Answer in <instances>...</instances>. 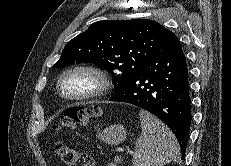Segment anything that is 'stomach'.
Wrapping results in <instances>:
<instances>
[{
    "mask_svg": "<svg viewBox=\"0 0 231 166\" xmlns=\"http://www.w3.org/2000/svg\"><path fill=\"white\" fill-rule=\"evenodd\" d=\"M127 131L122 125L114 124L106 127L98 138L110 145H118L126 139Z\"/></svg>",
    "mask_w": 231,
    "mask_h": 166,
    "instance_id": "1",
    "label": "stomach"
}]
</instances>
